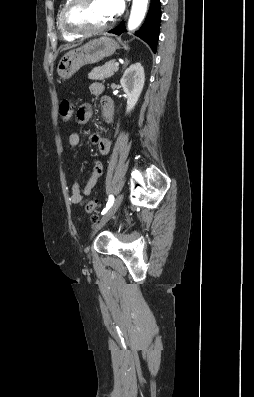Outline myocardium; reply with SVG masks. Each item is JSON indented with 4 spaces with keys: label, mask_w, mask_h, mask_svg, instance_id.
<instances>
[{
    "label": "myocardium",
    "mask_w": 254,
    "mask_h": 397,
    "mask_svg": "<svg viewBox=\"0 0 254 397\" xmlns=\"http://www.w3.org/2000/svg\"><path fill=\"white\" fill-rule=\"evenodd\" d=\"M89 1L90 0H69V2L66 4L61 14V25L67 33L77 36L89 35V34L100 33L111 27V25L113 24L112 20L99 27H87L72 22L71 20L72 13L76 9L86 5Z\"/></svg>",
    "instance_id": "obj_1"
}]
</instances>
